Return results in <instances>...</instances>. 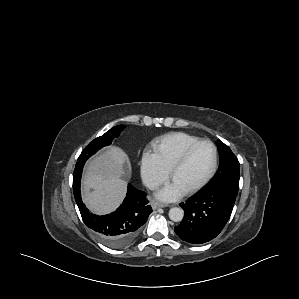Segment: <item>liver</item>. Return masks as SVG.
I'll return each mask as SVG.
<instances>
[{
  "mask_svg": "<svg viewBox=\"0 0 299 299\" xmlns=\"http://www.w3.org/2000/svg\"><path fill=\"white\" fill-rule=\"evenodd\" d=\"M126 153L119 147H110L91 160L82 180L83 201L95 214L114 211L126 194L124 165Z\"/></svg>",
  "mask_w": 299,
  "mask_h": 299,
  "instance_id": "obj_1",
  "label": "liver"
}]
</instances>
